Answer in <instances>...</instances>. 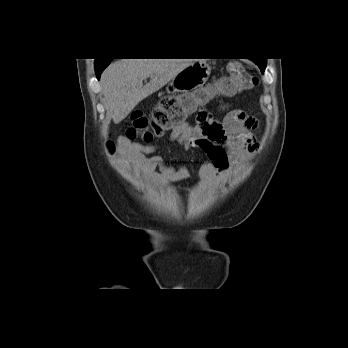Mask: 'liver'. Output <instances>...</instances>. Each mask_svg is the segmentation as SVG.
I'll return each mask as SVG.
<instances>
[{"label": "liver", "instance_id": "6515ba94", "mask_svg": "<svg viewBox=\"0 0 348 348\" xmlns=\"http://www.w3.org/2000/svg\"><path fill=\"white\" fill-rule=\"evenodd\" d=\"M194 59H119L101 75L106 108L115 124L125 119L135 106L170 82ZM150 81L143 85V80Z\"/></svg>", "mask_w": 348, "mask_h": 348}]
</instances>
